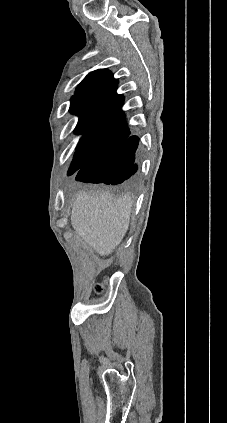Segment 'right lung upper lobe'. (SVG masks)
<instances>
[{
    "mask_svg": "<svg viewBox=\"0 0 227 423\" xmlns=\"http://www.w3.org/2000/svg\"><path fill=\"white\" fill-rule=\"evenodd\" d=\"M117 84L106 69L91 72L79 84L70 106V112L79 115L75 133H84L76 153L94 155L129 137L125 121L105 117L123 103V96L116 93Z\"/></svg>",
    "mask_w": 227,
    "mask_h": 423,
    "instance_id": "obj_1",
    "label": "right lung upper lobe"
}]
</instances>
